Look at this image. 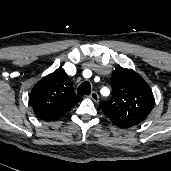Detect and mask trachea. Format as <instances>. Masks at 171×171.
Masks as SVG:
<instances>
[{"mask_svg": "<svg viewBox=\"0 0 171 171\" xmlns=\"http://www.w3.org/2000/svg\"><path fill=\"white\" fill-rule=\"evenodd\" d=\"M77 93L80 95H87L91 93V85L88 81L81 83L77 89Z\"/></svg>", "mask_w": 171, "mask_h": 171, "instance_id": "3493384b", "label": "trachea"}]
</instances>
